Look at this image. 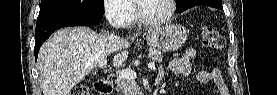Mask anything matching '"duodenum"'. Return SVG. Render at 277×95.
Instances as JSON below:
<instances>
[{"label": "duodenum", "mask_w": 277, "mask_h": 95, "mask_svg": "<svg viewBox=\"0 0 277 95\" xmlns=\"http://www.w3.org/2000/svg\"><path fill=\"white\" fill-rule=\"evenodd\" d=\"M94 86L99 94H110L113 90V81L98 80Z\"/></svg>", "instance_id": "1"}]
</instances>
